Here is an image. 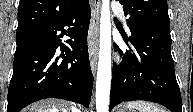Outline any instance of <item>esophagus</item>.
I'll return each mask as SVG.
<instances>
[{
	"mask_svg": "<svg viewBox=\"0 0 193 112\" xmlns=\"http://www.w3.org/2000/svg\"><path fill=\"white\" fill-rule=\"evenodd\" d=\"M100 0L91 3V22L88 32V51L93 74L97 67Z\"/></svg>",
	"mask_w": 193,
	"mask_h": 112,
	"instance_id": "obj_1",
	"label": "esophagus"
}]
</instances>
